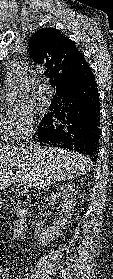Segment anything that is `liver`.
I'll return each instance as SVG.
<instances>
[{"label":"liver","instance_id":"1","mask_svg":"<svg viewBox=\"0 0 113 279\" xmlns=\"http://www.w3.org/2000/svg\"><path fill=\"white\" fill-rule=\"evenodd\" d=\"M90 157L61 148L4 146L0 149V190L8 188L15 178L34 190L56 182L87 174Z\"/></svg>","mask_w":113,"mask_h":279}]
</instances>
